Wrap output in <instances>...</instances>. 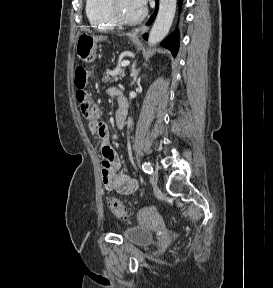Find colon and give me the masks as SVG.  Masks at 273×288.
I'll list each match as a JSON object with an SVG mask.
<instances>
[{
	"label": "colon",
	"instance_id": "colon-1",
	"mask_svg": "<svg viewBox=\"0 0 273 288\" xmlns=\"http://www.w3.org/2000/svg\"><path fill=\"white\" fill-rule=\"evenodd\" d=\"M77 53L80 59L92 61L95 57L94 42L92 37L82 35L78 40ZM88 73L85 68L78 67L75 71V85L77 87L76 97L85 119L96 121L99 118V107L93 102L85 90ZM110 211L120 220H128L129 216L120 200L114 197L108 198Z\"/></svg>",
	"mask_w": 273,
	"mask_h": 288
}]
</instances>
